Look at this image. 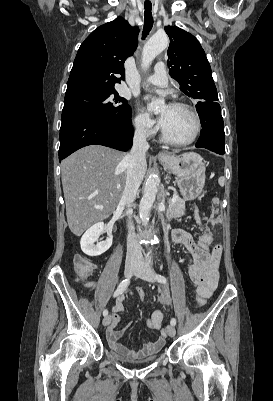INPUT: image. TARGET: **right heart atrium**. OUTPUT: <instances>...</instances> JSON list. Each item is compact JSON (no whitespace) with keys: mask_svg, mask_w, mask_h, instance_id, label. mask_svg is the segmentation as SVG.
Listing matches in <instances>:
<instances>
[{"mask_svg":"<svg viewBox=\"0 0 273 401\" xmlns=\"http://www.w3.org/2000/svg\"><path fill=\"white\" fill-rule=\"evenodd\" d=\"M136 133L142 138H150L156 134L157 126L153 119L146 113L138 111L133 119Z\"/></svg>","mask_w":273,"mask_h":401,"instance_id":"1","label":"right heart atrium"}]
</instances>
